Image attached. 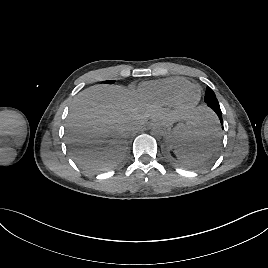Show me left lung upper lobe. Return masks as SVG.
Returning <instances> with one entry per match:
<instances>
[{"mask_svg": "<svg viewBox=\"0 0 268 268\" xmlns=\"http://www.w3.org/2000/svg\"><path fill=\"white\" fill-rule=\"evenodd\" d=\"M204 101L207 103V105H212V104L219 105V102L215 96V93L210 87H207L206 89Z\"/></svg>", "mask_w": 268, "mask_h": 268, "instance_id": "1", "label": "left lung upper lobe"}]
</instances>
